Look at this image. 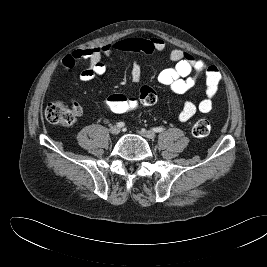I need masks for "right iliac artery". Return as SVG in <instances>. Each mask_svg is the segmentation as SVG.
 Wrapping results in <instances>:
<instances>
[{
  "instance_id": "82829eb1",
  "label": "right iliac artery",
  "mask_w": 267,
  "mask_h": 267,
  "mask_svg": "<svg viewBox=\"0 0 267 267\" xmlns=\"http://www.w3.org/2000/svg\"><path fill=\"white\" fill-rule=\"evenodd\" d=\"M124 125H125L124 122H118V123H117V126H118V127H124Z\"/></svg>"
}]
</instances>
